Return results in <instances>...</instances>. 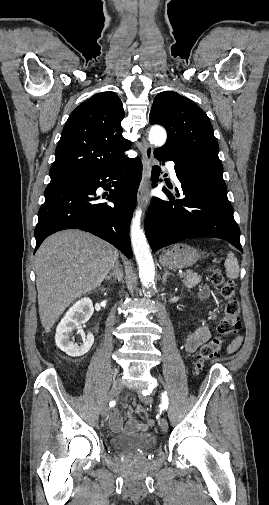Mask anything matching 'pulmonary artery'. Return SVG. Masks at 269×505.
<instances>
[{"label": "pulmonary artery", "mask_w": 269, "mask_h": 505, "mask_svg": "<svg viewBox=\"0 0 269 505\" xmlns=\"http://www.w3.org/2000/svg\"><path fill=\"white\" fill-rule=\"evenodd\" d=\"M166 167L168 169L171 179L174 181H177V175H176V171L174 168V164L172 162H169V163H167Z\"/></svg>", "instance_id": "e3ab8cb5"}]
</instances>
